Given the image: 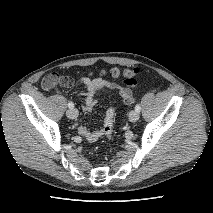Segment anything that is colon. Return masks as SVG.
<instances>
[{"instance_id":"obj_1","label":"colon","mask_w":213,"mask_h":213,"mask_svg":"<svg viewBox=\"0 0 213 213\" xmlns=\"http://www.w3.org/2000/svg\"><path fill=\"white\" fill-rule=\"evenodd\" d=\"M136 73H137V70L121 71L117 68H114L110 71V76L113 78L123 77L124 84L127 86V88H125L122 91V95L125 98H129L131 95V89L129 87H133L135 85L136 81L134 77ZM59 79L63 82L71 81V79L68 77H60ZM114 115H115L114 108H108L104 116V125L102 129V134L105 137H107L109 140H112V137H113Z\"/></svg>"}]
</instances>
